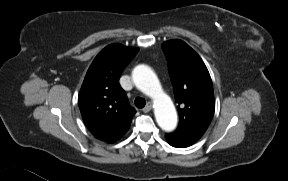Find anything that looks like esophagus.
<instances>
[{"label": "esophagus", "instance_id": "esophagus-1", "mask_svg": "<svg viewBox=\"0 0 288 181\" xmlns=\"http://www.w3.org/2000/svg\"><path fill=\"white\" fill-rule=\"evenodd\" d=\"M152 109V103L148 102L147 105L142 109L144 113L149 112Z\"/></svg>", "mask_w": 288, "mask_h": 181}]
</instances>
